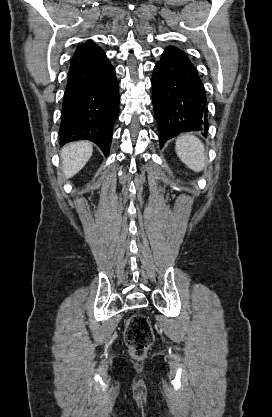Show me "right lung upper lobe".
I'll return each mask as SVG.
<instances>
[{"mask_svg":"<svg viewBox=\"0 0 272 417\" xmlns=\"http://www.w3.org/2000/svg\"><path fill=\"white\" fill-rule=\"evenodd\" d=\"M93 45H95V44H93L91 40H88L85 44L80 45L76 49L75 54L80 53V52H83V51L87 50L88 48H90Z\"/></svg>","mask_w":272,"mask_h":417,"instance_id":"1","label":"right lung upper lobe"}]
</instances>
